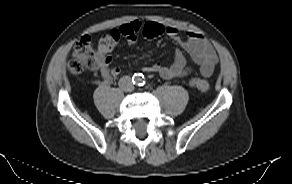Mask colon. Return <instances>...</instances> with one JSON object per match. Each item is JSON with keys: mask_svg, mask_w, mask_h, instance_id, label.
Returning <instances> with one entry per match:
<instances>
[{"mask_svg": "<svg viewBox=\"0 0 292 184\" xmlns=\"http://www.w3.org/2000/svg\"><path fill=\"white\" fill-rule=\"evenodd\" d=\"M142 34L147 40H153L163 34V27L157 22L148 21L144 24ZM119 40V31L113 29L100 38L97 51L109 52L118 44ZM97 51L89 36L81 37L74 45L73 57L68 64L70 72L80 75L83 71L94 68ZM190 84L202 92L209 89V82L202 78H193Z\"/></svg>", "mask_w": 292, "mask_h": 184, "instance_id": "1", "label": "colon"}]
</instances>
